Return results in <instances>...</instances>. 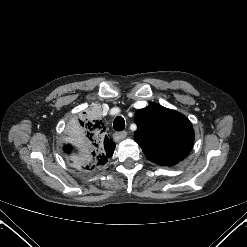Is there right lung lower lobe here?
<instances>
[{
	"label": "right lung lower lobe",
	"instance_id": "98d812e1",
	"mask_svg": "<svg viewBox=\"0 0 247 247\" xmlns=\"http://www.w3.org/2000/svg\"><path fill=\"white\" fill-rule=\"evenodd\" d=\"M66 150H68V152H71L72 154H74L76 160L79 159L76 147H72L71 145H68V147H66Z\"/></svg>",
	"mask_w": 247,
	"mask_h": 247
}]
</instances>
